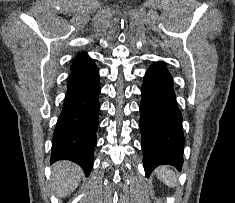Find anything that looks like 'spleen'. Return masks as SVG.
<instances>
[{
  "label": "spleen",
  "instance_id": "1",
  "mask_svg": "<svg viewBox=\"0 0 235 203\" xmlns=\"http://www.w3.org/2000/svg\"><path fill=\"white\" fill-rule=\"evenodd\" d=\"M156 176L161 180L165 185L169 187H175L177 183L176 176L174 172L166 166H161L156 169Z\"/></svg>",
  "mask_w": 235,
  "mask_h": 203
}]
</instances>
